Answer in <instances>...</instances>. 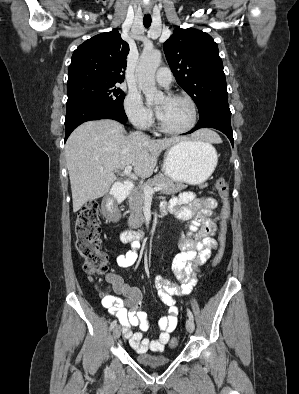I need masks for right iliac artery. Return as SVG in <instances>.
Returning <instances> with one entry per match:
<instances>
[{
  "instance_id": "right-iliac-artery-1",
  "label": "right iliac artery",
  "mask_w": 299,
  "mask_h": 394,
  "mask_svg": "<svg viewBox=\"0 0 299 394\" xmlns=\"http://www.w3.org/2000/svg\"><path fill=\"white\" fill-rule=\"evenodd\" d=\"M117 325V320H114L110 325V330H112Z\"/></svg>"
}]
</instances>
